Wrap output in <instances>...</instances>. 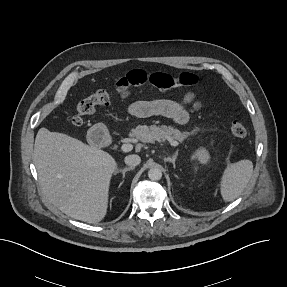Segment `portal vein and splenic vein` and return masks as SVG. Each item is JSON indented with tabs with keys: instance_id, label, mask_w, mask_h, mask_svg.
I'll return each mask as SVG.
<instances>
[{
	"instance_id": "obj_1",
	"label": "portal vein and splenic vein",
	"mask_w": 287,
	"mask_h": 287,
	"mask_svg": "<svg viewBox=\"0 0 287 287\" xmlns=\"http://www.w3.org/2000/svg\"><path fill=\"white\" fill-rule=\"evenodd\" d=\"M168 141H169V143H170L171 146L176 147V146L179 145V143H178L177 141H175V140L169 139ZM132 149H133V146H132V144H129V143L123 144V145L121 146V150L124 151V152H129V151H131Z\"/></svg>"
}]
</instances>
